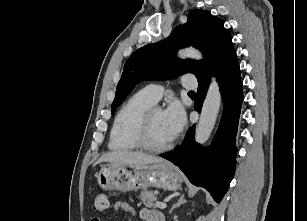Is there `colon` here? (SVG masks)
<instances>
[{
    "mask_svg": "<svg viewBox=\"0 0 307 221\" xmlns=\"http://www.w3.org/2000/svg\"><path fill=\"white\" fill-rule=\"evenodd\" d=\"M109 206L108 197L105 193H99L94 201V211L97 214L103 213Z\"/></svg>",
    "mask_w": 307,
    "mask_h": 221,
    "instance_id": "5ec220e1",
    "label": "colon"
}]
</instances>
